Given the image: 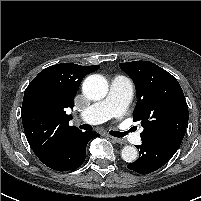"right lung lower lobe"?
<instances>
[{
	"mask_svg": "<svg viewBox=\"0 0 201 201\" xmlns=\"http://www.w3.org/2000/svg\"><path fill=\"white\" fill-rule=\"evenodd\" d=\"M98 135L92 131L80 130L63 140L49 153L37 156L46 166L56 171L79 168L86 157V146L90 139Z\"/></svg>",
	"mask_w": 201,
	"mask_h": 201,
	"instance_id": "obj_1",
	"label": "right lung lower lobe"
}]
</instances>
